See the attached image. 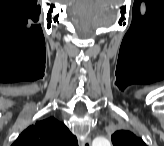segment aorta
Listing matches in <instances>:
<instances>
[{
    "label": "aorta",
    "instance_id": "1",
    "mask_svg": "<svg viewBox=\"0 0 164 146\" xmlns=\"http://www.w3.org/2000/svg\"><path fill=\"white\" fill-rule=\"evenodd\" d=\"M93 146H110L111 142L104 137H97L92 142Z\"/></svg>",
    "mask_w": 164,
    "mask_h": 146
}]
</instances>
